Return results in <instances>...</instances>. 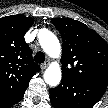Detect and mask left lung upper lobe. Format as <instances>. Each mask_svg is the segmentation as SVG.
I'll return each mask as SVG.
<instances>
[{"instance_id": "left-lung-upper-lobe-1", "label": "left lung upper lobe", "mask_w": 108, "mask_h": 108, "mask_svg": "<svg viewBox=\"0 0 108 108\" xmlns=\"http://www.w3.org/2000/svg\"><path fill=\"white\" fill-rule=\"evenodd\" d=\"M63 40L62 77L108 85V44L71 18L52 19Z\"/></svg>"}]
</instances>
